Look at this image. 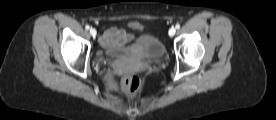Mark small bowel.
<instances>
[{
  "label": "small bowel",
  "instance_id": "1",
  "mask_svg": "<svg viewBox=\"0 0 276 120\" xmlns=\"http://www.w3.org/2000/svg\"><path fill=\"white\" fill-rule=\"evenodd\" d=\"M131 38L132 36L125 30L111 27L103 33L101 37V43L105 46L123 44L129 41Z\"/></svg>",
  "mask_w": 276,
  "mask_h": 120
}]
</instances>
